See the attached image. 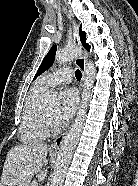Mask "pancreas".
Instances as JSON below:
<instances>
[{
  "mask_svg": "<svg viewBox=\"0 0 138 186\" xmlns=\"http://www.w3.org/2000/svg\"><path fill=\"white\" fill-rule=\"evenodd\" d=\"M29 186H38L36 181H32V183Z\"/></svg>",
  "mask_w": 138,
  "mask_h": 186,
  "instance_id": "obj_1",
  "label": "pancreas"
}]
</instances>
